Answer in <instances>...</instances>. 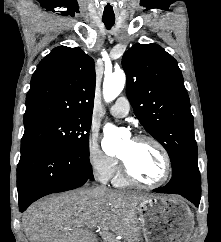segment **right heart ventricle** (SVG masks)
I'll return each mask as SVG.
<instances>
[{"label":"right heart ventricle","instance_id":"e07e8e85","mask_svg":"<svg viewBox=\"0 0 221 242\" xmlns=\"http://www.w3.org/2000/svg\"><path fill=\"white\" fill-rule=\"evenodd\" d=\"M113 183L117 187H126L130 184V182L124 176L121 167H117L113 177Z\"/></svg>","mask_w":221,"mask_h":242}]
</instances>
